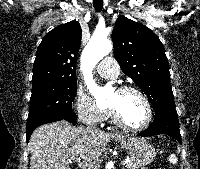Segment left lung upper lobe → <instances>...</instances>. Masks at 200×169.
<instances>
[{
	"label": "left lung upper lobe",
	"instance_id": "5c2ea615",
	"mask_svg": "<svg viewBox=\"0 0 200 169\" xmlns=\"http://www.w3.org/2000/svg\"><path fill=\"white\" fill-rule=\"evenodd\" d=\"M112 40L121 70L148 96L155 113L175 110L169 65L159 38L143 24L120 16Z\"/></svg>",
	"mask_w": 200,
	"mask_h": 169
}]
</instances>
